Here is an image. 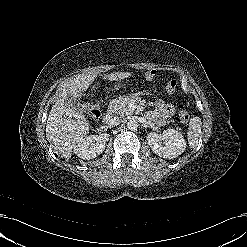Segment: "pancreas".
Instances as JSON below:
<instances>
[{"label": "pancreas", "mask_w": 247, "mask_h": 247, "mask_svg": "<svg viewBox=\"0 0 247 247\" xmlns=\"http://www.w3.org/2000/svg\"><path fill=\"white\" fill-rule=\"evenodd\" d=\"M145 104V100H142L141 97L136 94H132L126 97L114 99L110 104V110L114 114L125 117L134 113V110L131 109L130 105L145 106Z\"/></svg>", "instance_id": "obj_1"}]
</instances>
